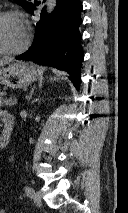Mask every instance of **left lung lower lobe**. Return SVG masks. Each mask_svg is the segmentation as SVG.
Wrapping results in <instances>:
<instances>
[{"label": "left lung lower lobe", "instance_id": "left-lung-lower-lobe-1", "mask_svg": "<svg viewBox=\"0 0 128 213\" xmlns=\"http://www.w3.org/2000/svg\"><path fill=\"white\" fill-rule=\"evenodd\" d=\"M35 9L32 5L28 11L33 14ZM82 9L80 0H57L55 12L51 15H47L43 8L41 20L36 24L33 46L16 59L49 64L65 70L72 76L74 86L79 89L84 58L78 30L82 23Z\"/></svg>", "mask_w": 128, "mask_h": 213}]
</instances>
